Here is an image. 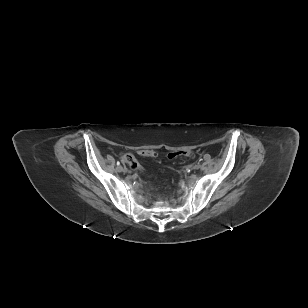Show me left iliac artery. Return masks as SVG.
<instances>
[{
  "mask_svg": "<svg viewBox=\"0 0 308 308\" xmlns=\"http://www.w3.org/2000/svg\"><path fill=\"white\" fill-rule=\"evenodd\" d=\"M204 161H210V156L209 155H204Z\"/></svg>",
  "mask_w": 308,
  "mask_h": 308,
  "instance_id": "left-iliac-artery-1",
  "label": "left iliac artery"
}]
</instances>
